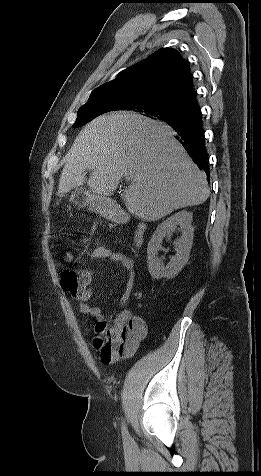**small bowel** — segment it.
I'll list each match as a JSON object with an SVG mask.
<instances>
[{
    "instance_id": "small-bowel-1",
    "label": "small bowel",
    "mask_w": 261,
    "mask_h": 476,
    "mask_svg": "<svg viewBox=\"0 0 261 476\" xmlns=\"http://www.w3.org/2000/svg\"><path fill=\"white\" fill-rule=\"evenodd\" d=\"M90 257L91 259H105L117 262L128 274V280L120 298L122 309L116 314L114 325L112 326V328L120 330V336L115 346H111L105 351L100 350L101 360L106 364L114 365L131 357L147 334L145 320L141 317L133 316L131 311L126 308L135 286L134 263L127 255L115 252L100 244H97ZM88 273L92 278L91 272L88 271ZM90 281L72 295L78 301L82 313L99 318L102 313L100 307L89 303L94 292L93 288L89 286Z\"/></svg>"
}]
</instances>
